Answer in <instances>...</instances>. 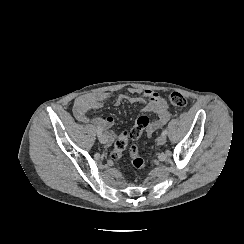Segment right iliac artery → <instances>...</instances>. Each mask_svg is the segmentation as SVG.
Listing matches in <instances>:
<instances>
[{"label":"right iliac artery","mask_w":244,"mask_h":244,"mask_svg":"<svg viewBox=\"0 0 244 244\" xmlns=\"http://www.w3.org/2000/svg\"><path fill=\"white\" fill-rule=\"evenodd\" d=\"M97 134H98V137L102 134V129L100 128V126H98V128H97Z\"/></svg>","instance_id":"obj_1"}]
</instances>
